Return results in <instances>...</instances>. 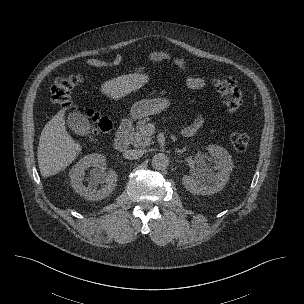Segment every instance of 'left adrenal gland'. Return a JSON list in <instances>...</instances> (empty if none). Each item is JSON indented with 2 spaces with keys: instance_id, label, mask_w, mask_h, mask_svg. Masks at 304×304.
I'll return each instance as SVG.
<instances>
[{
  "instance_id": "1",
  "label": "left adrenal gland",
  "mask_w": 304,
  "mask_h": 304,
  "mask_svg": "<svg viewBox=\"0 0 304 304\" xmlns=\"http://www.w3.org/2000/svg\"><path fill=\"white\" fill-rule=\"evenodd\" d=\"M185 151H186V147H184L182 150L176 149V152L179 154H182Z\"/></svg>"
}]
</instances>
